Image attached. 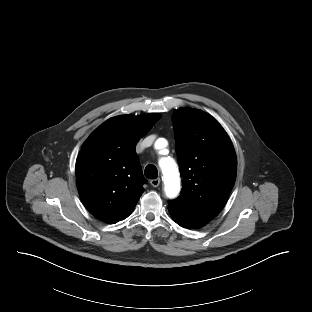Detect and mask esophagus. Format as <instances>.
Returning a JSON list of instances; mask_svg holds the SVG:
<instances>
[{"label":"esophagus","instance_id":"1","mask_svg":"<svg viewBox=\"0 0 312 312\" xmlns=\"http://www.w3.org/2000/svg\"><path fill=\"white\" fill-rule=\"evenodd\" d=\"M150 184H151L153 187H158L159 184H160V179H159V178H157V179H152V180L150 181Z\"/></svg>","mask_w":312,"mask_h":312}]
</instances>
